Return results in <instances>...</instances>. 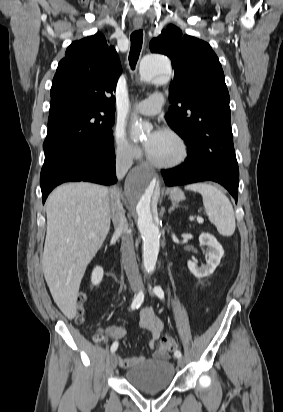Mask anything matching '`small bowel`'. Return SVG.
I'll return each mask as SVG.
<instances>
[{
  "instance_id": "1",
  "label": "small bowel",
  "mask_w": 283,
  "mask_h": 412,
  "mask_svg": "<svg viewBox=\"0 0 283 412\" xmlns=\"http://www.w3.org/2000/svg\"><path fill=\"white\" fill-rule=\"evenodd\" d=\"M140 325L143 329L149 331L152 338L149 341V348L154 350L156 341L163 329V322L156 316L151 307H145L140 311ZM108 336L113 340L125 335V330L118 326H108L106 328ZM154 357H161L159 352L154 353ZM145 357L137 356L133 358H119V366L121 369H128L138 363H141Z\"/></svg>"
}]
</instances>
